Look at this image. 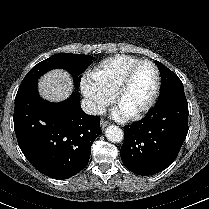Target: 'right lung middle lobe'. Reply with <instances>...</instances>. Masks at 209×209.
<instances>
[{"instance_id":"obj_1","label":"right lung middle lobe","mask_w":209,"mask_h":209,"mask_svg":"<svg viewBox=\"0 0 209 209\" xmlns=\"http://www.w3.org/2000/svg\"><path fill=\"white\" fill-rule=\"evenodd\" d=\"M92 56L59 53L35 65L25 76L19 88L26 86L29 82L36 81L40 76L51 69L62 68L68 70L74 75V84L79 87L81 74L90 65Z\"/></svg>"}]
</instances>
